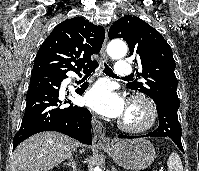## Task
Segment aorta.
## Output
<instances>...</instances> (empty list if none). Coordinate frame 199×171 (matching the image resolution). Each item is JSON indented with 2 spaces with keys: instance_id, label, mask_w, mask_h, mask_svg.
<instances>
[{
  "instance_id": "obj_1",
  "label": "aorta",
  "mask_w": 199,
  "mask_h": 171,
  "mask_svg": "<svg viewBox=\"0 0 199 171\" xmlns=\"http://www.w3.org/2000/svg\"><path fill=\"white\" fill-rule=\"evenodd\" d=\"M107 53L113 59H119L126 55L127 45L122 40H113L107 46ZM94 171H99L95 168Z\"/></svg>"
}]
</instances>
